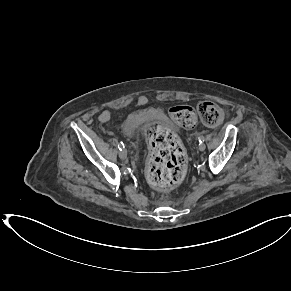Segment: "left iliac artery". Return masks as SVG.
Here are the masks:
<instances>
[{
    "label": "left iliac artery",
    "instance_id": "left-iliac-artery-1",
    "mask_svg": "<svg viewBox=\"0 0 291 291\" xmlns=\"http://www.w3.org/2000/svg\"><path fill=\"white\" fill-rule=\"evenodd\" d=\"M204 140H205V138H204L203 136H200V137H199V142H200V143L204 142Z\"/></svg>",
    "mask_w": 291,
    "mask_h": 291
}]
</instances>
